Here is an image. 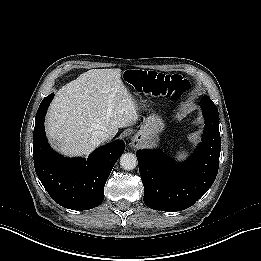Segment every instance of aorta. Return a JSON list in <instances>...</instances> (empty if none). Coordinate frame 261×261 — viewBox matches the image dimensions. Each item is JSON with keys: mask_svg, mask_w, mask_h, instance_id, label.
I'll return each instance as SVG.
<instances>
[{"mask_svg": "<svg viewBox=\"0 0 261 261\" xmlns=\"http://www.w3.org/2000/svg\"><path fill=\"white\" fill-rule=\"evenodd\" d=\"M138 164L137 157L133 153H125L120 157V166L127 171L133 170Z\"/></svg>", "mask_w": 261, "mask_h": 261, "instance_id": "1", "label": "aorta"}]
</instances>
